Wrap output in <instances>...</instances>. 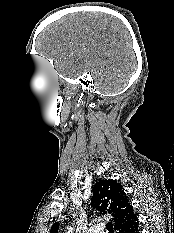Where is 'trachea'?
<instances>
[{"label": "trachea", "mask_w": 174, "mask_h": 233, "mask_svg": "<svg viewBox=\"0 0 174 233\" xmlns=\"http://www.w3.org/2000/svg\"><path fill=\"white\" fill-rule=\"evenodd\" d=\"M106 229L109 231V233H114L112 222H108V223H107Z\"/></svg>", "instance_id": "3493384b"}]
</instances>
